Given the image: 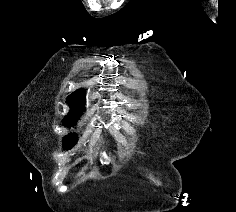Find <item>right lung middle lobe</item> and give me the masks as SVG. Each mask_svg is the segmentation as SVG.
<instances>
[{
	"label": "right lung middle lobe",
	"mask_w": 236,
	"mask_h": 212,
	"mask_svg": "<svg viewBox=\"0 0 236 212\" xmlns=\"http://www.w3.org/2000/svg\"><path fill=\"white\" fill-rule=\"evenodd\" d=\"M82 111H70L63 119V124L66 126H73L76 124L77 118L81 115ZM76 134H68L63 138V148L70 149L77 142Z\"/></svg>",
	"instance_id": "1"
}]
</instances>
